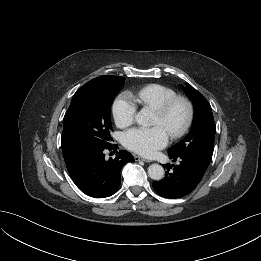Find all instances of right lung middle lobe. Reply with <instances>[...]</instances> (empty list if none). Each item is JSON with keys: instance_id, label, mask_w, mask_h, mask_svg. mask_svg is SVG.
Wrapping results in <instances>:
<instances>
[{"instance_id": "dd1d6c3e", "label": "right lung middle lobe", "mask_w": 261, "mask_h": 261, "mask_svg": "<svg viewBox=\"0 0 261 261\" xmlns=\"http://www.w3.org/2000/svg\"><path fill=\"white\" fill-rule=\"evenodd\" d=\"M124 81L125 78L115 76L108 81L86 83L77 90L64 116L61 137L64 157L112 142L110 109Z\"/></svg>"}]
</instances>
